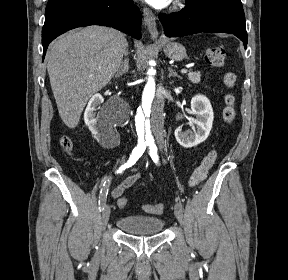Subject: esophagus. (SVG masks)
Instances as JSON below:
<instances>
[{
  "label": "esophagus",
  "instance_id": "esophagus-1",
  "mask_svg": "<svg viewBox=\"0 0 288 280\" xmlns=\"http://www.w3.org/2000/svg\"><path fill=\"white\" fill-rule=\"evenodd\" d=\"M143 17H144L145 25L147 26L151 36L153 38H157L159 33L157 30L156 16L154 15V13L150 9L144 8Z\"/></svg>",
  "mask_w": 288,
  "mask_h": 280
}]
</instances>
